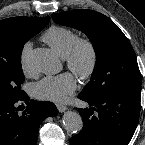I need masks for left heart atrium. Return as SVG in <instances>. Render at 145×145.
Returning a JSON list of instances; mask_svg holds the SVG:
<instances>
[{
    "label": "left heart atrium",
    "instance_id": "left-heart-atrium-1",
    "mask_svg": "<svg viewBox=\"0 0 145 145\" xmlns=\"http://www.w3.org/2000/svg\"><path fill=\"white\" fill-rule=\"evenodd\" d=\"M77 87L76 79L71 73L48 76L33 86V95L52 102H63L67 95L72 94Z\"/></svg>",
    "mask_w": 145,
    "mask_h": 145
}]
</instances>
